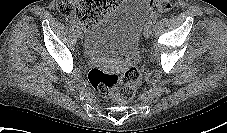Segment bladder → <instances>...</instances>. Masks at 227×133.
<instances>
[{"label":"bladder","instance_id":"obj_1","mask_svg":"<svg viewBox=\"0 0 227 133\" xmlns=\"http://www.w3.org/2000/svg\"><path fill=\"white\" fill-rule=\"evenodd\" d=\"M149 12V0H123L88 31L82 48L84 57L135 60L140 33Z\"/></svg>","mask_w":227,"mask_h":133}]
</instances>
